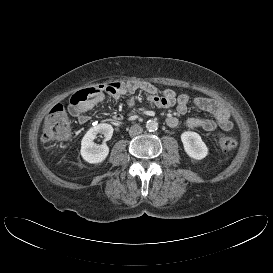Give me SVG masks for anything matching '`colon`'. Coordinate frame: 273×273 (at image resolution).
<instances>
[{"label": "colon", "instance_id": "colon-1", "mask_svg": "<svg viewBox=\"0 0 273 273\" xmlns=\"http://www.w3.org/2000/svg\"><path fill=\"white\" fill-rule=\"evenodd\" d=\"M112 83L111 86H118ZM96 88H84L77 91L71 98L72 104H79L91 97ZM71 136V119L60 104L55 105L48 113L43 124V139L47 142H60ZM237 141L233 137L220 134L217 145L224 151H231L237 147Z\"/></svg>", "mask_w": 273, "mask_h": 273}]
</instances>
